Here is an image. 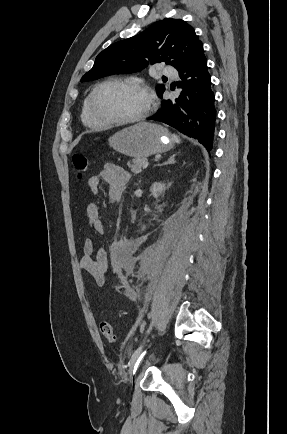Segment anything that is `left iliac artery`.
I'll use <instances>...</instances> for the list:
<instances>
[{"instance_id":"44dca946","label":"left iliac artery","mask_w":287,"mask_h":434,"mask_svg":"<svg viewBox=\"0 0 287 434\" xmlns=\"http://www.w3.org/2000/svg\"><path fill=\"white\" fill-rule=\"evenodd\" d=\"M152 326H153V322L151 323V325L149 326V328H148V330H147V332H146V337H147V335L150 333V331H151V329H152ZM146 337H145V339H146ZM144 339V340H145ZM142 350H143V343L135 350V352L133 353V355H132V357H131V360H130V362H131V367L132 368H134V371L136 370V368H137V366H138V364H139V362H140V360L142 359V357H143V355H144V353L143 354H141L142 353Z\"/></svg>"}]
</instances>
